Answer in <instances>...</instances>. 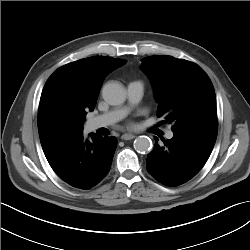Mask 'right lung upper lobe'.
Returning a JSON list of instances; mask_svg holds the SVG:
<instances>
[{
  "instance_id": "1",
  "label": "right lung upper lobe",
  "mask_w": 250,
  "mask_h": 250,
  "mask_svg": "<svg viewBox=\"0 0 250 250\" xmlns=\"http://www.w3.org/2000/svg\"><path fill=\"white\" fill-rule=\"evenodd\" d=\"M127 61L93 56L58 68L40 98L38 130L43 150L83 132L86 114L95 108L101 84Z\"/></svg>"
}]
</instances>
